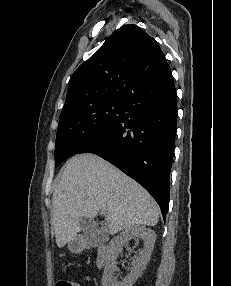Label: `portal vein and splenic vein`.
I'll use <instances>...</instances> for the list:
<instances>
[{
  "mask_svg": "<svg viewBox=\"0 0 231 286\" xmlns=\"http://www.w3.org/2000/svg\"><path fill=\"white\" fill-rule=\"evenodd\" d=\"M101 214H102V215H106V214H107L106 209L102 208V209H101Z\"/></svg>",
  "mask_w": 231,
  "mask_h": 286,
  "instance_id": "1",
  "label": "portal vein and splenic vein"
}]
</instances>
